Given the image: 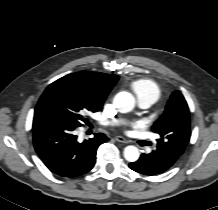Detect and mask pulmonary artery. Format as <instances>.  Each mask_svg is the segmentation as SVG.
I'll return each instance as SVG.
<instances>
[{
	"label": "pulmonary artery",
	"mask_w": 218,
	"mask_h": 210,
	"mask_svg": "<svg viewBox=\"0 0 218 210\" xmlns=\"http://www.w3.org/2000/svg\"><path fill=\"white\" fill-rule=\"evenodd\" d=\"M138 104L141 108H149L152 105V101L148 98H140L138 99ZM115 123V121L113 122H106L105 124H113Z\"/></svg>",
	"instance_id": "pulmonary-artery-1"
}]
</instances>
